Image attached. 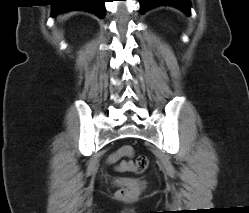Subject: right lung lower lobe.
<instances>
[{
	"label": "right lung lower lobe",
	"mask_w": 249,
	"mask_h": 213,
	"mask_svg": "<svg viewBox=\"0 0 249 213\" xmlns=\"http://www.w3.org/2000/svg\"><path fill=\"white\" fill-rule=\"evenodd\" d=\"M52 4V15L68 10H86L96 14L98 17L105 16V0H54Z\"/></svg>",
	"instance_id": "right-lung-lower-lobe-1"
}]
</instances>
